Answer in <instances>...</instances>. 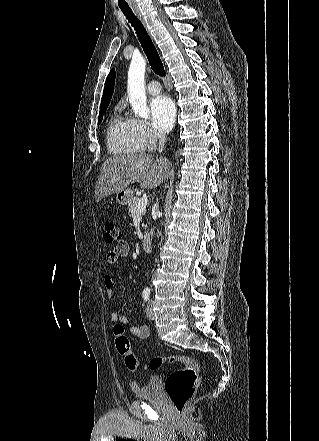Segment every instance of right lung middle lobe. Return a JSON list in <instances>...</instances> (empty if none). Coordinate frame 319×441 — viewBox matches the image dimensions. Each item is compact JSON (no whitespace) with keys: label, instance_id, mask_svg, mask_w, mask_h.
I'll return each instance as SVG.
<instances>
[{"label":"right lung middle lobe","instance_id":"obj_1","mask_svg":"<svg viewBox=\"0 0 319 441\" xmlns=\"http://www.w3.org/2000/svg\"><path fill=\"white\" fill-rule=\"evenodd\" d=\"M106 109H107V107H103L102 109H100L98 124L101 123V121L103 119V114L106 112Z\"/></svg>","mask_w":319,"mask_h":441}]
</instances>
